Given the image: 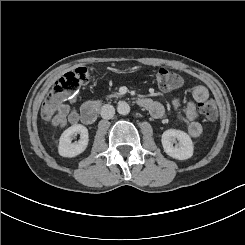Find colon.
<instances>
[{"instance_id": "obj_1", "label": "colon", "mask_w": 245, "mask_h": 245, "mask_svg": "<svg viewBox=\"0 0 245 245\" xmlns=\"http://www.w3.org/2000/svg\"><path fill=\"white\" fill-rule=\"evenodd\" d=\"M159 87L163 90H172L179 87L182 78L172 70L159 68L147 70ZM90 71L85 67H79L67 72L59 78L50 88L42 104L41 114L43 119L51 120L58 111L59 106L71 99L87 84L90 78ZM199 110L205 119L214 122L218 113L214 100L208 99L199 104Z\"/></svg>"}]
</instances>
